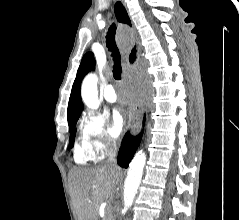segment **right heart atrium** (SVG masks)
Wrapping results in <instances>:
<instances>
[{"mask_svg":"<svg viewBox=\"0 0 239 220\" xmlns=\"http://www.w3.org/2000/svg\"><path fill=\"white\" fill-rule=\"evenodd\" d=\"M80 135L95 159H100L115 148V141L106 130V117L95 111L85 112L80 120Z\"/></svg>","mask_w":239,"mask_h":220,"instance_id":"obj_1","label":"right heart atrium"}]
</instances>
